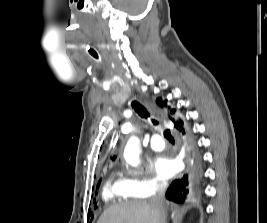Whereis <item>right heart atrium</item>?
<instances>
[{
    "instance_id": "right-heart-atrium-1",
    "label": "right heart atrium",
    "mask_w": 267,
    "mask_h": 223,
    "mask_svg": "<svg viewBox=\"0 0 267 223\" xmlns=\"http://www.w3.org/2000/svg\"><path fill=\"white\" fill-rule=\"evenodd\" d=\"M124 183L130 195L143 198L151 197L161 192L165 187L160 178L148 176L141 170L131 171L124 178Z\"/></svg>"
}]
</instances>
